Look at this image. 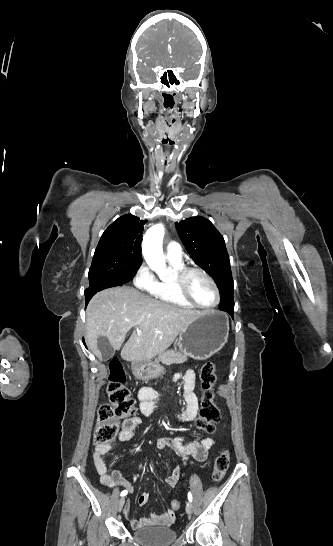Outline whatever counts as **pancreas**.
Returning a JSON list of instances; mask_svg holds the SVG:
<instances>
[{
  "label": "pancreas",
  "mask_w": 333,
  "mask_h": 546,
  "mask_svg": "<svg viewBox=\"0 0 333 546\" xmlns=\"http://www.w3.org/2000/svg\"><path fill=\"white\" fill-rule=\"evenodd\" d=\"M188 359L187 355L176 350H167L159 354L156 362H162L165 365L180 364Z\"/></svg>",
  "instance_id": "obj_1"
}]
</instances>
